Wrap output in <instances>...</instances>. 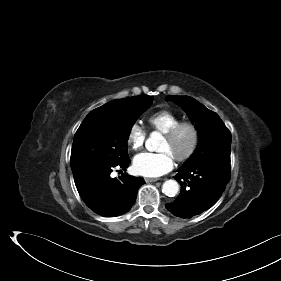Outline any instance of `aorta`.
Listing matches in <instances>:
<instances>
[{
    "mask_svg": "<svg viewBox=\"0 0 281 281\" xmlns=\"http://www.w3.org/2000/svg\"><path fill=\"white\" fill-rule=\"evenodd\" d=\"M159 140V134L153 132L146 140L145 146L147 150L154 151ZM179 191V184L175 180H167L163 183L162 192L169 197H174Z\"/></svg>",
    "mask_w": 281,
    "mask_h": 281,
    "instance_id": "aorta-1",
    "label": "aorta"
}]
</instances>
